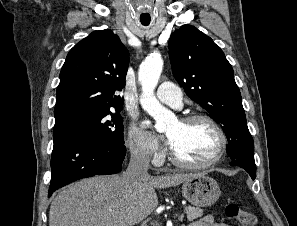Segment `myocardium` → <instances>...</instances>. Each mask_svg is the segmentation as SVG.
Here are the masks:
<instances>
[{
	"label": "myocardium",
	"instance_id": "1",
	"mask_svg": "<svg viewBox=\"0 0 297 226\" xmlns=\"http://www.w3.org/2000/svg\"><path fill=\"white\" fill-rule=\"evenodd\" d=\"M196 121L206 122L214 129V131L217 133L218 138H219L218 147H217L214 155L209 160H207L206 162H203V163H189V162L183 161L177 156L175 151L171 148L170 160L177 167H180L183 169H189V170L207 169V168H210V167L214 166L215 164H217L222 159V157L225 153L228 139H227L225 131L223 130V128L220 126V124L215 119H213L212 117H210L206 114H201V113L189 114V115L183 116L180 119V122L184 123V124L196 122Z\"/></svg>",
	"mask_w": 297,
	"mask_h": 226
}]
</instances>
